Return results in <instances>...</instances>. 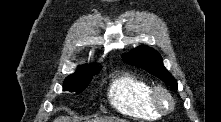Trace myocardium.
<instances>
[{
    "label": "myocardium",
    "mask_w": 221,
    "mask_h": 122,
    "mask_svg": "<svg viewBox=\"0 0 221 122\" xmlns=\"http://www.w3.org/2000/svg\"><path fill=\"white\" fill-rule=\"evenodd\" d=\"M150 100L153 107L160 114L171 113L175 108V99L173 95L163 85H155L151 88ZM163 100H166L167 104H165Z\"/></svg>",
    "instance_id": "myocardium-1"
}]
</instances>
